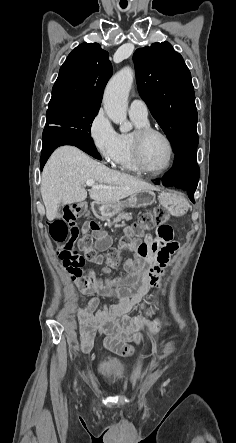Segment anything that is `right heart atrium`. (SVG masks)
Instances as JSON below:
<instances>
[{"instance_id":"d8ad5b80","label":"right heart atrium","mask_w":236,"mask_h":443,"mask_svg":"<svg viewBox=\"0 0 236 443\" xmlns=\"http://www.w3.org/2000/svg\"><path fill=\"white\" fill-rule=\"evenodd\" d=\"M87 134L99 156L108 164H116L121 154L120 135L102 108L90 120Z\"/></svg>"}]
</instances>
